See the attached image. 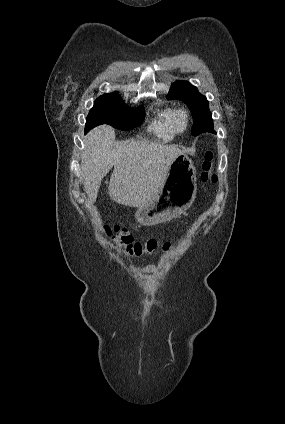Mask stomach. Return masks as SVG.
Listing matches in <instances>:
<instances>
[{"mask_svg": "<svg viewBox=\"0 0 285 424\" xmlns=\"http://www.w3.org/2000/svg\"><path fill=\"white\" fill-rule=\"evenodd\" d=\"M196 182L193 162L181 153L168 167L155 199L138 207L135 218L144 226H152L178 217L193 204L197 192Z\"/></svg>", "mask_w": 285, "mask_h": 424, "instance_id": "1", "label": "stomach"}]
</instances>
